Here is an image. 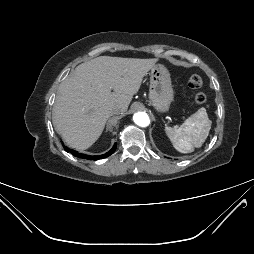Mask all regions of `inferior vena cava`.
Instances as JSON below:
<instances>
[{"label":"inferior vena cava","mask_w":254,"mask_h":254,"mask_svg":"<svg viewBox=\"0 0 254 254\" xmlns=\"http://www.w3.org/2000/svg\"><path fill=\"white\" fill-rule=\"evenodd\" d=\"M121 113V108L118 107V106H115L113 107L111 110H110V115H118Z\"/></svg>","instance_id":"1"}]
</instances>
